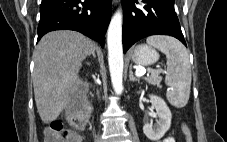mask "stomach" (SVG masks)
Returning a JSON list of instances; mask_svg holds the SVG:
<instances>
[{
  "mask_svg": "<svg viewBox=\"0 0 227 142\" xmlns=\"http://www.w3.org/2000/svg\"><path fill=\"white\" fill-rule=\"evenodd\" d=\"M130 57L137 65L149 66L157 62L159 54L154 48L141 44L131 50Z\"/></svg>",
  "mask_w": 227,
  "mask_h": 142,
  "instance_id": "1",
  "label": "stomach"
}]
</instances>
